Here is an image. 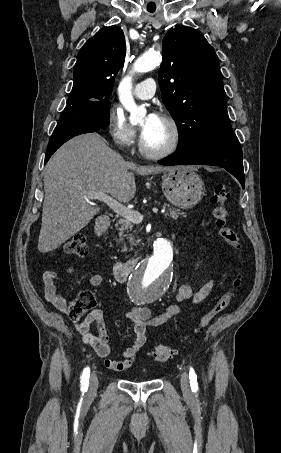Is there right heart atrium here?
Here are the masks:
<instances>
[{
	"label": "right heart atrium",
	"instance_id": "obj_1",
	"mask_svg": "<svg viewBox=\"0 0 281 453\" xmlns=\"http://www.w3.org/2000/svg\"><path fill=\"white\" fill-rule=\"evenodd\" d=\"M105 121L106 126L117 145L122 148L133 146L137 139V129L128 122L121 111H108ZM110 169L115 174H125L126 167L120 156L116 154L111 156Z\"/></svg>",
	"mask_w": 281,
	"mask_h": 453
}]
</instances>
